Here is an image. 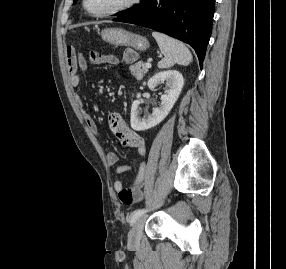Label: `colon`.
<instances>
[{"label":"colon","instance_id":"obj_1","mask_svg":"<svg viewBox=\"0 0 286 269\" xmlns=\"http://www.w3.org/2000/svg\"><path fill=\"white\" fill-rule=\"evenodd\" d=\"M122 53L125 54L124 57L121 58L122 62H137V59L140 58L139 49H123ZM115 137L120 141L122 139V134L118 131L114 132ZM120 197L123 201L128 199L126 195V191L120 193Z\"/></svg>","mask_w":286,"mask_h":269}]
</instances>
